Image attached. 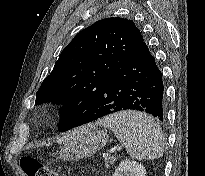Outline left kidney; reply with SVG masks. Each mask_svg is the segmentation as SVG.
<instances>
[{"label":"left kidney","instance_id":"1","mask_svg":"<svg viewBox=\"0 0 205 176\" xmlns=\"http://www.w3.org/2000/svg\"><path fill=\"white\" fill-rule=\"evenodd\" d=\"M146 169L136 161H121L113 176H145Z\"/></svg>","mask_w":205,"mask_h":176}]
</instances>
